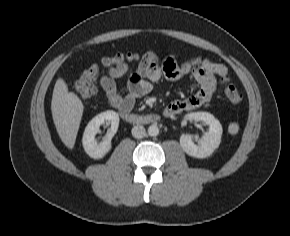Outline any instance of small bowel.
<instances>
[{"mask_svg": "<svg viewBox=\"0 0 290 236\" xmlns=\"http://www.w3.org/2000/svg\"><path fill=\"white\" fill-rule=\"evenodd\" d=\"M106 71V75L100 79L101 88L111 107L121 113L130 112L136 99L148 94L163 78L178 81L192 76L198 84V90L187 99L169 103L164 110L168 117L201 107L212 98L218 86L230 81L227 67L208 57L196 56L178 63L171 55L160 58L153 51H147L142 56L124 88H119L116 80L127 73L126 63L107 68Z\"/></svg>", "mask_w": 290, "mask_h": 236, "instance_id": "1", "label": "small bowel"}]
</instances>
